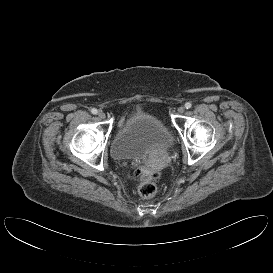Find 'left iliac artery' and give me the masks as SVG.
I'll return each mask as SVG.
<instances>
[{"label":"left iliac artery","mask_w":273,"mask_h":273,"mask_svg":"<svg viewBox=\"0 0 273 273\" xmlns=\"http://www.w3.org/2000/svg\"><path fill=\"white\" fill-rule=\"evenodd\" d=\"M192 107V104L190 102L185 103V108L190 109Z\"/></svg>","instance_id":"obj_1"}]
</instances>
